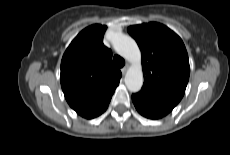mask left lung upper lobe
<instances>
[{
	"mask_svg": "<svg viewBox=\"0 0 230 155\" xmlns=\"http://www.w3.org/2000/svg\"><path fill=\"white\" fill-rule=\"evenodd\" d=\"M142 54L144 84L142 92L176 106L189 80L188 54L181 38L168 27L150 22L130 26Z\"/></svg>",
	"mask_w": 230,
	"mask_h": 155,
	"instance_id": "left-lung-upper-lobe-1",
	"label": "left lung upper lobe"
}]
</instances>
